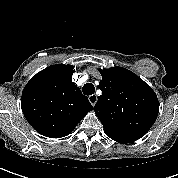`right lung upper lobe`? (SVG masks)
Returning <instances> with one entry per match:
<instances>
[{
  "label": "right lung upper lobe",
  "instance_id": "obj_1",
  "mask_svg": "<svg viewBox=\"0 0 178 178\" xmlns=\"http://www.w3.org/2000/svg\"><path fill=\"white\" fill-rule=\"evenodd\" d=\"M72 65H51L25 86L21 107L30 125L50 138L67 136L93 109L72 82Z\"/></svg>",
  "mask_w": 178,
  "mask_h": 178
}]
</instances>
